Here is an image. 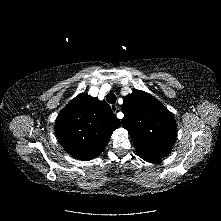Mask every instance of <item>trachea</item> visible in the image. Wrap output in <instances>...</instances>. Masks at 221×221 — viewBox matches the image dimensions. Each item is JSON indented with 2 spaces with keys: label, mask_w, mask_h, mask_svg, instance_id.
<instances>
[{
  "label": "trachea",
  "mask_w": 221,
  "mask_h": 221,
  "mask_svg": "<svg viewBox=\"0 0 221 221\" xmlns=\"http://www.w3.org/2000/svg\"><path fill=\"white\" fill-rule=\"evenodd\" d=\"M106 100L110 104H114L116 102V95L114 93H108L106 95Z\"/></svg>",
  "instance_id": "1"
}]
</instances>
